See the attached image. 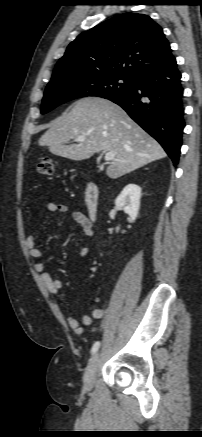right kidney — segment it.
Listing matches in <instances>:
<instances>
[{
	"instance_id": "right-kidney-1",
	"label": "right kidney",
	"mask_w": 202,
	"mask_h": 437,
	"mask_svg": "<svg viewBox=\"0 0 202 437\" xmlns=\"http://www.w3.org/2000/svg\"><path fill=\"white\" fill-rule=\"evenodd\" d=\"M141 188L136 184H128L115 200V205L122 208L134 222L140 208Z\"/></svg>"
}]
</instances>
